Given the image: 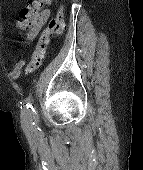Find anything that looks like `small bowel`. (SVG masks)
I'll return each mask as SVG.
<instances>
[{"instance_id": "small-bowel-1", "label": "small bowel", "mask_w": 143, "mask_h": 170, "mask_svg": "<svg viewBox=\"0 0 143 170\" xmlns=\"http://www.w3.org/2000/svg\"><path fill=\"white\" fill-rule=\"evenodd\" d=\"M43 3L49 5L52 0H41ZM50 15V10L48 8H45L43 10H38L35 20L29 25V26H23L21 21H17V26L19 28H30V34L29 39H33L37 32L40 30V28L44 25V23L47 21L48 17ZM24 66V61H19L14 66L13 70L10 73V76L14 79L18 78L20 76V72L22 67Z\"/></svg>"}]
</instances>
